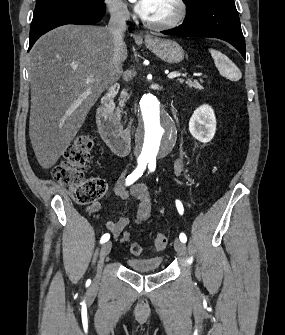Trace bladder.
<instances>
[{"label": "bladder", "mask_w": 285, "mask_h": 335, "mask_svg": "<svg viewBox=\"0 0 285 335\" xmlns=\"http://www.w3.org/2000/svg\"><path fill=\"white\" fill-rule=\"evenodd\" d=\"M162 255H152L148 257H129L128 265H131L134 272H156V265H161Z\"/></svg>", "instance_id": "bladder-1"}]
</instances>
